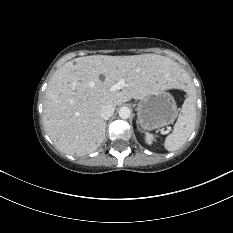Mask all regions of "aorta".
<instances>
[{
    "mask_svg": "<svg viewBox=\"0 0 233 233\" xmlns=\"http://www.w3.org/2000/svg\"><path fill=\"white\" fill-rule=\"evenodd\" d=\"M118 114L121 119H128L131 115V110L124 106L119 109Z\"/></svg>",
    "mask_w": 233,
    "mask_h": 233,
    "instance_id": "obj_1",
    "label": "aorta"
}]
</instances>
